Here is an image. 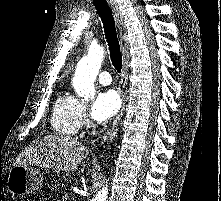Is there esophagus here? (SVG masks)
I'll use <instances>...</instances> for the list:
<instances>
[{
  "mask_svg": "<svg viewBox=\"0 0 221 201\" xmlns=\"http://www.w3.org/2000/svg\"><path fill=\"white\" fill-rule=\"evenodd\" d=\"M109 4L112 12L114 14V18L116 21V25L119 31V42L121 47V52L123 56V63H122V71H121V78L119 83V93L121 96L122 106L117 114L112 126L107 130V132L101 137L100 143L101 145L108 144L113 140V138L117 134L119 122L123 116L125 111V87L127 83V72H128V38H127V29L124 23V16L119 8V4L115 2V0H106Z\"/></svg>",
  "mask_w": 221,
  "mask_h": 201,
  "instance_id": "1",
  "label": "esophagus"
}]
</instances>
